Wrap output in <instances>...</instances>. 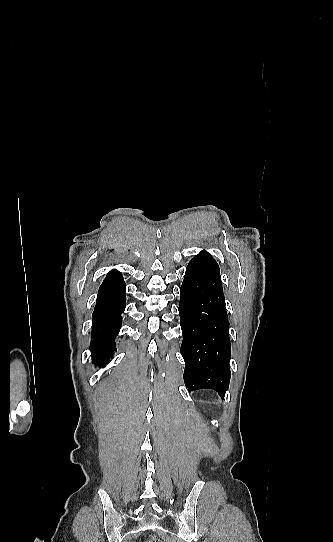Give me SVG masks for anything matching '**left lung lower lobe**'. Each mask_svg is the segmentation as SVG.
I'll return each mask as SVG.
<instances>
[{"label": "left lung lower lobe", "mask_w": 333, "mask_h": 542, "mask_svg": "<svg viewBox=\"0 0 333 542\" xmlns=\"http://www.w3.org/2000/svg\"><path fill=\"white\" fill-rule=\"evenodd\" d=\"M179 315L186 388L212 389L223 397L231 377L229 322L219 266L205 251L186 268Z\"/></svg>", "instance_id": "left-lung-lower-lobe-1"}]
</instances>
